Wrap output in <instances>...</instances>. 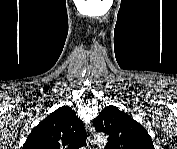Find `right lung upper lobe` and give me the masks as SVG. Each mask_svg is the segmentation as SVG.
Listing matches in <instances>:
<instances>
[{"mask_svg":"<svg viewBox=\"0 0 177 149\" xmlns=\"http://www.w3.org/2000/svg\"><path fill=\"white\" fill-rule=\"evenodd\" d=\"M83 122L69 106H62L29 134L24 149H78L86 145Z\"/></svg>","mask_w":177,"mask_h":149,"instance_id":"1","label":"right lung upper lobe"}]
</instances>
